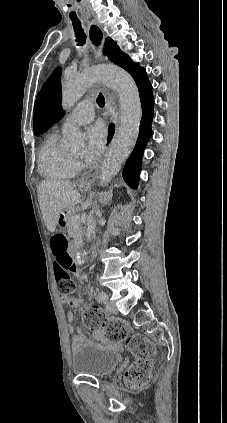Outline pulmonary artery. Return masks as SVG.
Instances as JSON below:
<instances>
[{"mask_svg":"<svg viewBox=\"0 0 227 423\" xmlns=\"http://www.w3.org/2000/svg\"><path fill=\"white\" fill-rule=\"evenodd\" d=\"M95 112L90 101L80 102L70 114V122L75 125H86L94 120Z\"/></svg>","mask_w":227,"mask_h":423,"instance_id":"1","label":"pulmonary artery"}]
</instances>
